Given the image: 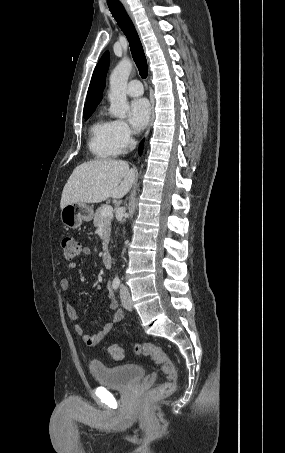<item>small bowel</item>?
Listing matches in <instances>:
<instances>
[{"label": "small bowel", "instance_id": "c3829d8e", "mask_svg": "<svg viewBox=\"0 0 285 453\" xmlns=\"http://www.w3.org/2000/svg\"><path fill=\"white\" fill-rule=\"evenodd\" d=\"M80 253L82 255L88 256V255L91 254V249L89 247H82ZM68 269L70 271L75 270L76 269V263H74V262L69 263L68 264ZM60 287H61L62 290H65V291L68 290L70 288L69 279L62 278L60 280ZM107 287H108V290H109V295H108V297H109V307H110V309L115 310V313H114L111 321L106 323L104 325V327L98 333H96L94 335H91V334L87 333L84 330L83 326L81 324L77 323L79 321V318H80L79 312L77 311V309L72 304H70V303L67 304V308H66L67 314H68V317L70 318V320L75 322V326H74L75 332L79 335L81 340L88 346H95L96 344L101 342L109 334V332L113 328V325L118 323V322H120L124 318L123 311L117 309L118 308V303H117V301L115 300V298L113 296V293H112V290H111V284H108Z\"/></svg>", "mask_w": 285, "mask_h": 453}]
</instances>
